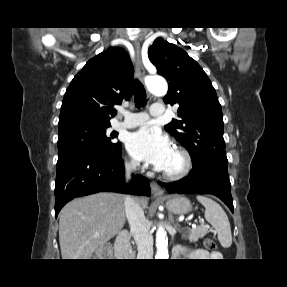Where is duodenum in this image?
<instances>
[{
	"label": "duodenum",
	"mask_w": 287,
	"mask_h": 287,
	"mask_svg": "<svg viewBox=\"0 0 287 287\" xmlns=\"http://www.w3.org/2000/svg\"><path fill=\"white\" fill-rule=\"evenodd\" d=\"M115 253L117 257L121 259L133 258V254L130 249V233L128 231H122L118 235L115 244Z\"/></svg>",
	"instance_id": "duodenum-1"
}]
</instances>
